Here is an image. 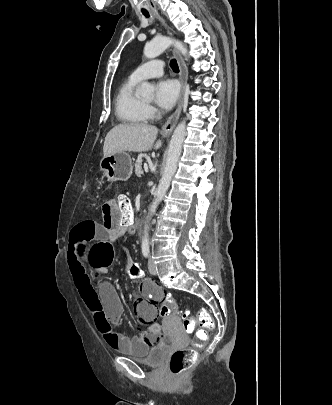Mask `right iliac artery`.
Segmentation results:
<instances>
[{"label":"right iliac artery","mask_w":332,"mask_h":405,"mask_svg":"<svg viewBox=\"0 0 332 405\" xmlns=\"http://www.w3.org/2000/svg\"><path fill=\"white\" fill-rule=\"evenodd\" d=\"M142 253H143V256L144 257H149V253H150V251H149V248L148 247H144L143 249H142Z\"/></svg>","instance_id":"obj_1"}]
</instances>
